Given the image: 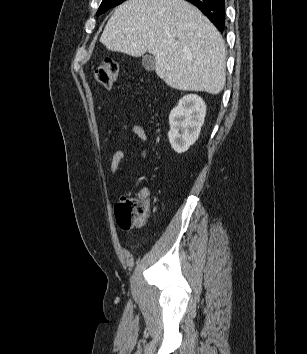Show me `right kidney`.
<instances>
[{"label": "right kidney", "mask_w": 307, "mask_h": 354, "mask_svg": "<svg viewBox=\"0 0 307 354\" xmlns=\"http://www.w3.org/2000/svg\"><path fill=\"white\" fill-rule=\"evenodd\" d=\"M205 115L206 105L198 95L188 94L179 100L169 115L168 138L175 152L184 153L195 143Z\"/></svg>", "instance_id": "right-kidney-1"}]
</instances>
